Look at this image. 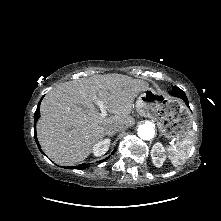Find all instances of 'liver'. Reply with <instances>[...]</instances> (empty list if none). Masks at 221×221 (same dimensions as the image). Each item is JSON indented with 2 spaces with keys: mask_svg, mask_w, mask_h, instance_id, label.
Here are the masks:
<instances>
[{
  "mask_svg": "<svg viewBox=\"0 0 221 221\" xmlns=\"http://www.w3.org/2000/svg\"><path fill=\"white\" fill-rule=\"evenodd\" d=\"M148 84L121 74L95 75L54 87L41 103L37 136L55 163L71 166L86 159L111 124L129 127L134 99ZM111 114L102 117L93 97Z\"/></svg>",
  "mask_w": 221,
  "mask_h": 221,
  "instance_id": "1",
  "label": "liver"
}]
</instances>
